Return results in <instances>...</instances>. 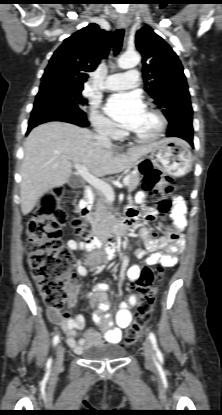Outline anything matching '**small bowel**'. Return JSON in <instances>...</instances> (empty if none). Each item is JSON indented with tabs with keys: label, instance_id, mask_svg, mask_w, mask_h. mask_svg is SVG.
I'll return each instance as SVG.
<instances>
[{
	"label": "small bowel",
	"instance_id": "obj_1",
	"mask_svg": "<svg viewBox=\"0 0 222 415\" xmlns=\"http://www.w3.org/2000/svg\"><path fill=\"white\" fill-rule=\"evenodd\" d=\"M145 193L140 194V198H144ZM186 205L179 198L174 197V210L171 214L177 229L182 230L186 226ZM157 212L152 207L144 208V218L152 220ZM138 216V212L134 208L128 209L126 218L134 221ZM141 234L145 239V248L135 252L138 258H146L150 265H161L163 267H174L178 263V254L182 252L185 246V238L178 232H171L166 236L156 237L148 228H142ZM67 246L73 251H82L86 249V245L75 240L67 241ZM76 271L79 276H85L87 271L84 266L78 264ZM141 273L138 265L129 268L127 272L128 279L136 286V282ZM78 286V285H77ZM109 286L107 283L101 282L94 286L93 291L86 294L90 307L94 310L92 320L100 327L101 332L94 329H88L83 336L77 337V330L85 327V318L82 314L72 316L70 308L74 307L77 301L76 293L72 294L69 299V308L64 311L48 309L47 316L49 320L59 326L66 336L68 345L75 353H81L84 349L95 346H103L107 344H119L122 341V332L131 323L132 308L138 302V294L133 293L122 301L116 315V325H113L110 316L107 314L109 309V300L107 291Z\"/></svg>",
	"mask_w": 222,
	"mask_h": 415
}]
</instances>
